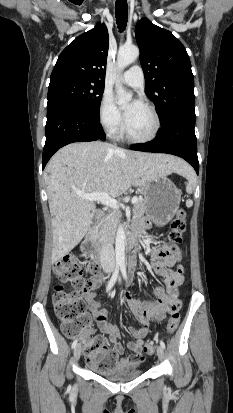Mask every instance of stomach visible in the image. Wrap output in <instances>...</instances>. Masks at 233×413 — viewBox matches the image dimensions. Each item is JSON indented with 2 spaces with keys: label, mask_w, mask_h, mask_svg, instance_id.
<instances>
[{
  "label": "stomach",
  "mask_w": 233,
  "mask_h": 413,
  "mask_svg": "<svg viewBox=\"0 0 233 413\" xmlns=\"http://www.w3.org/2000/svg\"><path fill=\"white\" fill-rule=\"evenodd\" d=\"M143 188L145 213L157 225L164 226L179 209L181 193L166 176L147 181Z\"/></svg>",
  "instance_id": "0dacf381"
}]
</instances>
